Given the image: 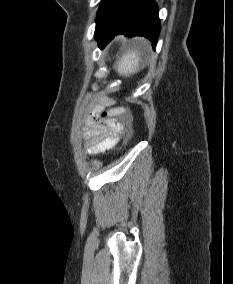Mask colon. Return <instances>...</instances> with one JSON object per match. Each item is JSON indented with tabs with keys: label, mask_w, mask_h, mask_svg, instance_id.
<instances>
[{
	"label": "colon",
	"mask_w": 233,
	"mask_h": 284,
	"mask_svg": "<svg viewBox=\"0 0 233 284\" xmlns=\"http://www.w3.org/2000/svg\"><path fill=\"white\" fill-rule=\"evenodd\" d=\"M126 115V109L124 108H116L111 110L110 112L103 111L99 115L100 120H106L109 116H124Z\"/></svg>",
	"instance_id": "colon-1"
}]
</instances>
